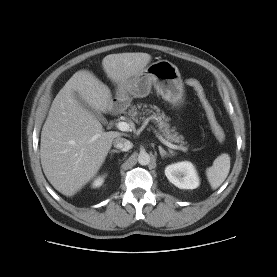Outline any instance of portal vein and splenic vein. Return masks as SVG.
I'll list each match as a JSON object with an SVG mask.
<instances>
[{
	"label": "portal vein and splenic vein",
	"instance_id": "portal-vein-and-splenic-vein-1",
	"mask_svg": "<svg viewBox=\"0 0 277 277\" xmlns=\"http://www.w3.org/2000/svg\"><path fill=\"white\" fill-rule=\"evenodd\" d=\"M117 128L119 129V130H121V131H125V132H127V131H130V124L129 123H127V122H122V121H120V122H118L117 123ZM155 133H156V136L158 137V139L164 144V145H166V146H168L169 148H171V149H175V150H185L183 147H181V146H177V145H175V144H172V143H170V142H168L167 140H165L159 133H157L156 131H154Z\"/></svg>",
	"mask_w": 277,
	"mask_h": 277
}]
</instances>
